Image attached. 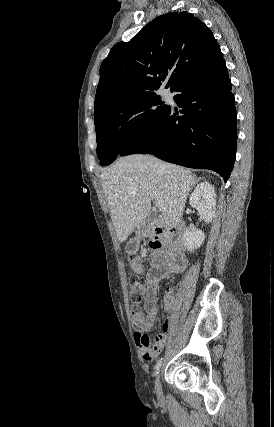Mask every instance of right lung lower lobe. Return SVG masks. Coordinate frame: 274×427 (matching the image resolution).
<instances>
[{
  "mask_svg": "<svg viewBox=\"0 0 274 427\" xmlns=\"http://www.w3.org/2000/svg\"><path fill=\"white\" fill-rule=\"evenodd\" d=\"M174 91L183 109L169 106L144 137L119 155L154 154L189 168L210 169L229 178L236 155V110L226 65L194 76ZM173 91V92H174Z\"/></svg>",
  "mask_w": 274,
  "mask_h": 427,
  "instance_id": "98d812e1",
  "label": "right lung lower lobe"
}]
</instances>
